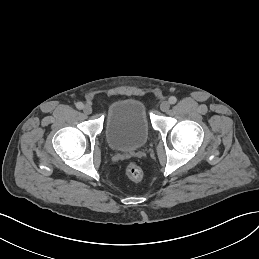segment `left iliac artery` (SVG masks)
Wrapping results in <instances>:
<instances>
[{
    "mask_svg": "<svg viewBox=\"0 0 259 259\" xmlns=\"http://www.w3.org/2000/svg\"><path fill=\"white\" fill-rule=\"evenodd\" d=\"M177 102V98L175 97V96H171L170 98H169V103L170 104H175Z\"/></svg>",
    "mask_w": 259,
    "mask_h": 259,
    "instance_id": "44dca946",
    "label": "left iliac artery"
}]
</instances>
